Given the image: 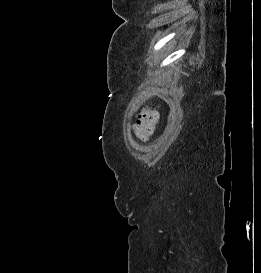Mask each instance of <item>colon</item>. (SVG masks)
<instances>
[{
  "instance_id": "1",
  "label": "colon",
  "mask_w": 261,
  "mask_h": 273,
  "mask_svg": "<svg viewBox=\"0 0 261 273\" xmlns=\"http://www.w3.org/2000/svg\"><path fill=\"white\" fill-rule=\"evenodd\" d=\"M157 121V115L154 111L143 110L136 121L134 132L140 139H146L154 130Z\"/></svg>"
}]
</instances>
